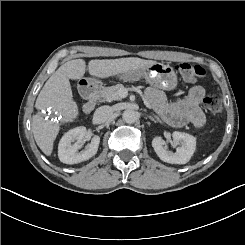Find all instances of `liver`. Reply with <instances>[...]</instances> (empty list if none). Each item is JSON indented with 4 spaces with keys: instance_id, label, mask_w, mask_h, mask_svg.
<instances>
[{
    "instance_id": "liver-1",
    "label": "liver",
    "mask_w": 245,
    "mask_h": 245,
    "mask_svg": "<svg viewBox=\"0 0 245 245\" xmlns=\"http://www.w3.org/2000/svg\"><path fill=\"white\" fill-rule=\"evenodd\" d=\"M157 63L153 60L129 57L111 60H91L88 63L89 74L106 78L131 70H136ZM86 64L83 59H75L61 65L47 80L40 91L35 107L45 110L52 107L62 115L63 122H71L78 116L77 104L72 99L69 79H82ZM59 124L43 120L41 113L32 117V132L34 139L42 152L50 156L53 143L59 133Z\"/></svg>"
}]
</instances>
